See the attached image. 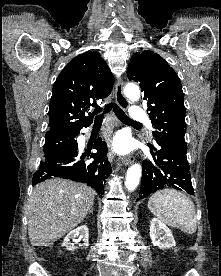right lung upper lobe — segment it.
<instances>
[{"label":"right lung upper lobe","mask_w":221,"mask_h":276,"mask_svg":"<svg viewBox=\"0 0 221 276\" xmlns=\"http://www.w3.org/2000/svg\"><path fill=\"white\" fill-rule=\"evenodd\" d=\"M113 84V74L98 52L88 51L73 58L54 83L46 135H78L102 110L96 100L108 97ZM90 106L95 110L86 116Z\"/></svg>","instance_id":"obj_1"}]
</instances>
